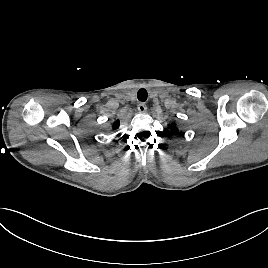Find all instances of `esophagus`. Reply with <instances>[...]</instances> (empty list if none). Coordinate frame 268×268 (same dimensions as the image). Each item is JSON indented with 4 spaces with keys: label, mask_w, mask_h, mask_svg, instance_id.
<instances>
[{
    "label": "esophagus",
    "mask_w": 268,
    "mask_h": 268,
    "mask_svg": "<svg viewBox=\"0 0 268 268\" xmlns=\"http://www.w3.org/2000/svg\"><path fill=\"white\" fill-rule=\"evenodd\" d=\"M137 109L140 113H144L147 110V106L145 103L141 102L138 104Z\"/></svg>",
    "instance_id": "34e87169"
}]
</instances>
